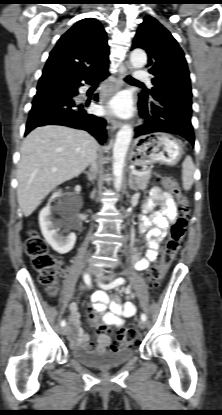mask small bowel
<instances>
[{
	"label": "small bowel",
	"mask_w": 222,
	"mask_h": 415,
	"mask_svg": "<svg viewBox=\"0 0 222 415\" xmlns=\"http://www.w3.org/2000/svg\"><path fill=\"white\" fill-rule=\"evenodd\" d=\"M155 206H160V209L152 211ZM176 218L177 206L172 196L158 187L153 188L145 203L144 215L141 218L142 233L146 235L147 252L137 262L138 270H146L157 258L160 241L165 236L169 224L174 222ZM123 291L128 296L132 295V291L128 288ZM92 302L93 306L99 310L101 320L108 326L120 327L123 325L124 319L136 314V306L132 302H122L117 296L109 297L104 290L94 292ZM68 310L69 323L72 326L70 338L73 346L87 351H105L110 344V337L105 333H99L96 343L90 342L88 334L82 330L77 303H70Z\"/></svg>",
	"instance_id": "obj_1"
}]
</instances>
